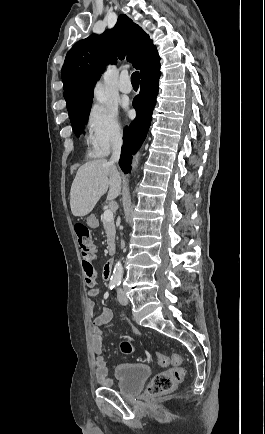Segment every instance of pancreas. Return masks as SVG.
Instances as JSON below:
<instances>
[{
	"label": "pancreas",
	"mask_w": 265,
	"mask_h": 434,
	"mask_svg": "<svg viewBox=\"0 0 265 434\" xmlns=\"http://www.w3.org/2000/svg\"><path fill=\"white\" fill-rule=\"evenodd\" d=\"M102 224L107 236L106 242L108 244V250H110V248H115L114 242L116 230L114 224H112V222H105V220H103Z\"/></svg>",
	"instance_id": "1"
}]
</instances>
